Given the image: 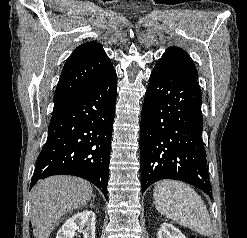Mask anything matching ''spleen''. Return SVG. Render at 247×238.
I'll list each match as a JSON object with an SVG mask.
<instances>
[{
	"label": "spleen",
	"instance_id": "1",
	"mask_svg": "<svg viewBox=\"0 0 247 238\" xmlns=\"http://www.w3.org/2000/svg\"><path fill=\"white\" fill-rule=\"evenodd\" d=\"M155 207L162 215L201 235L212 234L207 207L201 196L180 181L158 182L153 190Z\"/></svg>",
	"mask_w": 247,
	"mask_h": 238
}]
</instances>
